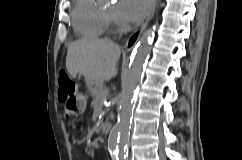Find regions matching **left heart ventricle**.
<instances>
[{"instance_id": "1", "label": "left heart ventricle", "mask_w": 242, "mask_h": 160, "mask_svg": "<svg viewBox=\"0 0 242 160\" xmlns=\"http://www.w3.org/2000/svg\"><path fill=\"white\" fill-rule=\"evenodd\" d=\"M110 17H112L115 21H117L115 17V6L112 4H108L102 8ZM118 22V21H117Z\"/></svg>"}]
</instances>
